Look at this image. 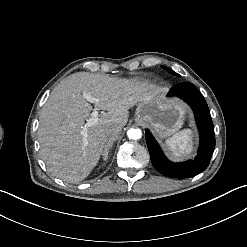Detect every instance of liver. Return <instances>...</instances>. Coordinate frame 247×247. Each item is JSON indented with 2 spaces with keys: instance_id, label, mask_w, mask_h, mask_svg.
I'll use <instances>...</instances> for the list:
<instances>
[{
  "instance_id": "obj_1",
  "label": "liver",
  "mask_w": 247,
  "mask_h": 247,
  "mask_svg": "<svg viewBox=\"0 0 247 247\" xmlns=\"http://www.w3.org/2000/svg\"><path fill=\"white\" fill-rule=\"evenodd\" d=\"M156 90V85L147 80L89 72H77L63 79L39 116L40 155L48 171L68 183L85 179L97 165L108 141L106 127H124L128 110ZM81 93L97 99L96 109L108 111L90 127H85V119L93 108Z\"/></svg>"
}]
</instances>
